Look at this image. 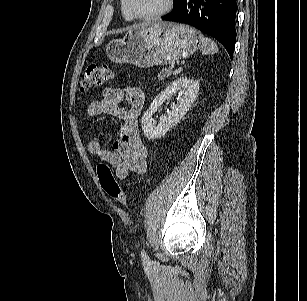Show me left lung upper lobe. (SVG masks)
I'll return each mask as SVG.
<instances>
[{"label":"left lung upper lobe","mask_w":307,"mask_h":301,"mask_svg":"<svg viewBox=\"0 0 307 301\" xmlns=\"http://www.w3.org/2000/svg\"><path fill=\"white\" fill-rule=\"evenodd\" d=\"M180 0H174V4L176 6V4L179 2Z\"/></svg>","instance_id":"obj_1"}]
</instances>
